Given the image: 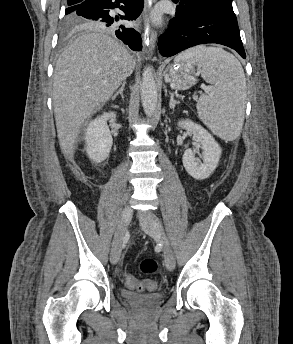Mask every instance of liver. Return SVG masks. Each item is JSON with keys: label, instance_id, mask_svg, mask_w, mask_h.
Returning a JSON list of instances; mask_svg holds the SVG:
<instances>
[{"label": "liver", "instance_id": "liver-1", "mask_svg": "<svg viewBox=\"0 0 293 344\" xmlns=\"http://www.w3.org/2000/svg\"><path fill=\"white\" fill-rule=\"evenodd\" d=\"M134 68L127 49L101 32L84 33L61 53L54 72L53 105L65 156H73L84 122L111 98Z\"/></svg>", "mask_w": 293, "mask_h": 344}]
</instances>
